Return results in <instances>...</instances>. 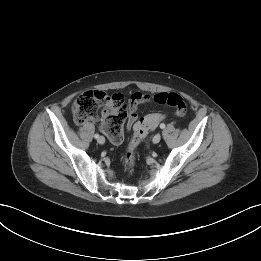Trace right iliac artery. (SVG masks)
<instances>
[{"mask_svg": "<svg viewBox=\"0 0 261 261\" xmlns=\"http://www.w3.org/2000/svg\"><path fill=\"white\" fill-rule=\"evenodd\" d=\"M94 137H95L96 139H98V138H99V134H95Z\"/></svg>", "mask_w": 261, "mask_h": 261, "instance_id": "right-iliac-artery-1", "label": "right iliac artery"}]
</instances>
